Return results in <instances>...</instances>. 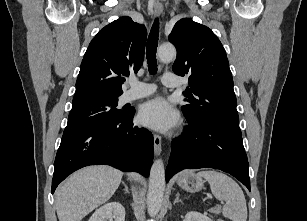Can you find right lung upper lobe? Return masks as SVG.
<instances>
[{"label": "right lung upper lobe", "instance_id": "cb5924a9", "mask_svg": "<svg viewBox=\"0 0 307 221\" xmlns=\"http://www.w3.org/2000/svg\"><path fill=\"white\" fill-rule=\"evenodd\" d=\"M144 25L121 17L108 24L90 42L81 63L73 104L118 98L122 76L137 72L144 58Z\"/></svg>", "mask_w": 307, "mask_h": 221}]
</instances>
